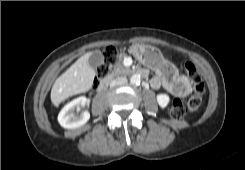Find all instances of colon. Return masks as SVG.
Returning a JSON list of instances; mask_svg holds the SVG:
<instances>
[{"instance_id":"1","label":"colon","mask_w":245,"mask_h":170,"mask_svg":"<svg viewBox=\"0 0 245 170\" xmlns=\"http://www.w3.org/2000/svg\"><path fill=\"white\" fill-rule=\"evenodd\" d=\"M117 59V51L113 47H108L104 51L103 62L97 69V81L103 79L110 71L111 67L115 64ZM185 71L193 83V93L188 101V110L195 111L199 108L202 96L205 92V85L201 75L197 72L195 66L186 62L184 64ZM175 89V85L173 86ZM186 109L182 101L176 100L171 109V116L174 119H182L185 115Z\"/></svg>"}]
</instances>
